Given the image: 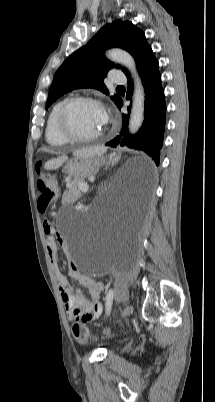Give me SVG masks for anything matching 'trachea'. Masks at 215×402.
Here are the masks:
<instances>
[{
    "mask_svg": "<svg viewBox=\"0 0 215 402\" xmlns=\"http://www.w3.org/2000/svg\"><path fill=\"white\" fill-rule=\"evenodd\" d=\"M117 88H124L123 86H118Z\"/></svg>",
    "mask_w": 215,
    "mask_h": 402,
    "instance_id": "3493384b",
    "label": "trachea"
}]
</instances>
